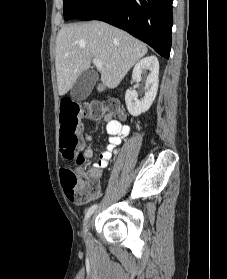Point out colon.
Segmentation results:
<instances>
[{
    "instance_id": "5ec220e1",
    "label": "colon",
    "mask_w": 227,
    "mask_h": 279,
    "mask_svg": "<svg viewBox=\"0 0 227 279\" xmlns=\"http://www.w3.org/2000/svg\"><path fill=\"white\" fill-rule=\"evenodd\" d=\"M108 109L112 114H118L120 111L119 105L115 101L108 105ZM101 115H103V108L99 105H81L73 101H64L61 104L59 142L60 152L65 160L71 161L75 158L79 165L85 162L84 154H77L81 142L77 133L78 122L83 117L92 119ZM61 179L65 192L78 204H84L97 191L96 181L93 178L87 180L78 168L63 170Z\"/></svg>"
}]
</instances>
